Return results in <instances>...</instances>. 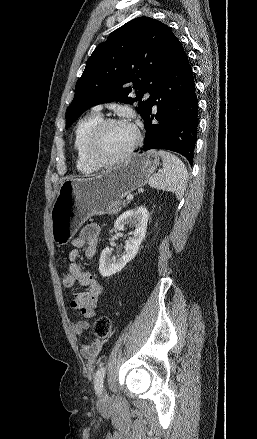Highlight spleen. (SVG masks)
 I'll return each mask as SVG.
<instances>
[{"instance_id": "1", "label": "spleen", "mask_w": 257, "mask_h": 439, "mask_svg": "<svg viewBox=\"0 0 257 439\" xmlns=\"http://www.w3.org/2000/svg\"><path fill=\"white\" fill-rule=\"evenodd\" d=\"M158 154L162 157L163 170L150 177L149 185L158 190L173 192L177 199H181L188 181L184 163L168 151L160 150Z\"/></svg>"}]
</instances>
